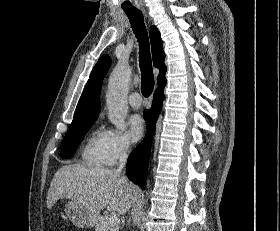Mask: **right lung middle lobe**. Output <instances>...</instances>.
Listing matches in <instances>:
<instances>
[{
	"instance_id": "1",
	"label": "right lung middle lobe",
	"mask_w": 280,
	"mask_h": 231,
	"mask_svg": "<svg viewBox=\"0 0 280 231\" xmlns=\"http://www.w3.org/2000/svg\"><path fill=\"white\" fill-rule=\"evenodd\" d=\"M94 122L95 121H89L70 127L63 142L61 154L59 155L61 158H71L74 155L84 135L91 128Z\"/></svg>"
}]
</instances>
